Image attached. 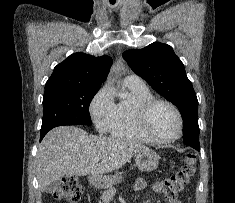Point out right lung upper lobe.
<instances>
[{
    "label": "right lung upper lobe",
    "mask_w": 235,
    "mask_h": 203,
    "mask_svg": "<svg viewBox=\"0 0 235 203\" xmlns=\"http://www.w3.org/2000/svg\"><path fill=\"white\" fill-rule=\"evenodd\" d=\"M112 62L107 55L94 57L84 53H74L54 68L45 88L62 85L100 87L109 73Z\"/></svg>",
    "instance_id": "1"
}]
</instances>
